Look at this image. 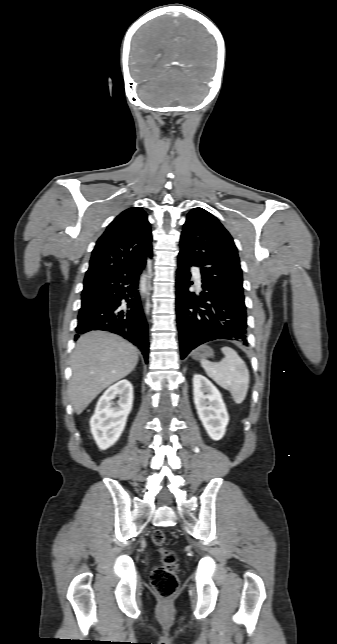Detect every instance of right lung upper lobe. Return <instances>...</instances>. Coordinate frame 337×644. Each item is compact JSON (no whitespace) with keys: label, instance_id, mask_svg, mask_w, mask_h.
I'll return each instance as SVG.
<instances>
[{"label":"right lung upper lobe","instance_id":"obj_1","mask_svg":"<svg viewBox=\"0 0 337 644\" xmlns=\"http://www.w3.org/2000/svg\"><path fill=\"white\" fill-rule=\"evenodd\" d=\"M152 235L147 214L129 208L118 215L98 239L84 285H90L125 265L144 263L152 256Z\"/></svg>","mask_w":337,"mask_h":644}]
</instances>
